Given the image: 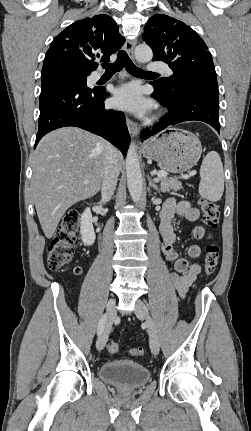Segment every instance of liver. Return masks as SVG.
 Here are the masks:
<instances>
[{
	"mask_svg": "<svg viewBox=\"0 0 251 431\" xmlns=\"http://www.w3.org/2000/svg\"><path fill=\"white\" fill-rule=\"evenodd\" d=\"M111 147L105 139L77 127H63L41 139L33 156L31 189L46 238H52L72 205L99 192ZM116 159L120 168L123 158L117 149Z\"/></svg>",
	"mask_w": 251,
	"mask_h": 431,
	"instance_id": "obj_1",
	"label": "liver"
}]
</instances>
